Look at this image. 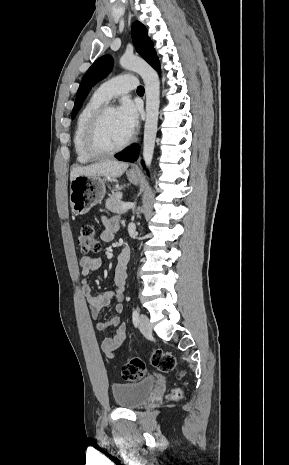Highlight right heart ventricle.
<instances>
[{"instance_id": "obj_1", "label": "right heart ventricle", "mask_w": 289, "mask_h": 465, "mask_svg": "<svg viewBox=\"0 0 289 465\" xmlns=\"http://www.w3.org/2000/svg\"><path fill=\"white\" fill-rule=\"evenodd\" d=\"M104 100H102L97 93H95L89 101L84 105L82 110L80 111L73 134V147L75 151L76 158L81 163H89L94 161L97 157L89 154L84 145V135L86 125L94 113V111L99 108L101 105L104 104Z\"/></svg>"}]
</instances>
